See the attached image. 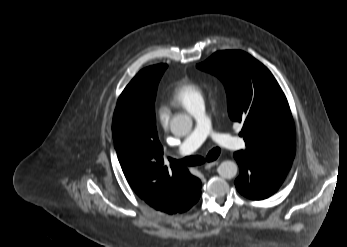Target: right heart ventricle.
<instances>
[{"label":"right heart ventricle","instance_id":"e07e8e85","mask_svg":"<svg viewBox=\"0 0 347 247\" xmlns=\"http://www.w3.org/2000/svg\"><path fill=\"white\" fill-rule=\"evenodd\" d=\"M198 100H203L202 89L191 80L182 79L174 84L167 103L190 111Z\"/></svg>","mask_w":347,"mask_h":247}]
</instances>
